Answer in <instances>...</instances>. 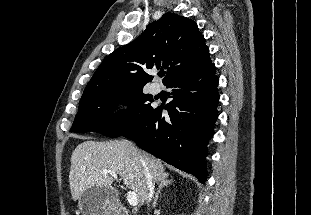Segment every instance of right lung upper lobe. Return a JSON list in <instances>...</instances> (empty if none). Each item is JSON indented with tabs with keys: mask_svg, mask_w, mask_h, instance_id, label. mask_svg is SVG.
I'll return each instance as SVG.
<instances>
[{
	"mask_svg": "<svg viewBox=\"0 0 311 215\" xmlns=\"http://www.w3.org/2000/svg\"><path fill=\"white\" fill-rule=\"evenodd\" d=\"M209 49L197 24L187 17L166 13L150 23L128 45L107 56L87 84L80 102L90 98L142 90L153 68L166 69L163 84L209 63Z\"/></svg>",
	"mask_w": 311,
	"mask_h": 215,
	"instance_id": "obj_1",
	"label": "right lung upper lobe"
}]
</instances>
